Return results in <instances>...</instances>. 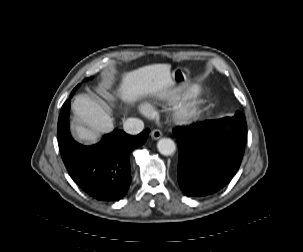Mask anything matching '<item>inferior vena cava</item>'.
Here are the masks:
<instances>
[{"instance_id": "obj_1", "label": "inferior vena cava", "mask_w": 303, "mask_h": 252, "mask_svg": "<svg viewBox=\"0 0 303 252\" xmlns=\"http://www.w3.org/2000/svg\"><path fill=\"white\" fill-rule=\"evenodd\" d=\"M124 131L131 135H136L144 129V123L137 118H128L123 124Z\"/></svg>"}]
</instances>
